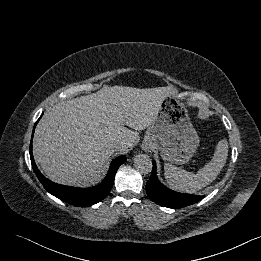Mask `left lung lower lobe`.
Wrapping results in <instances>:
<instances>
[{"label": "left lung lower lobe", "mask_w": 261, "mask_h": 261, "mask_svg": "<svg viewBox=\"0 0 261 261\" xmlns=\"http://www.w3.org/2000/svg\"><path fill=\"white\" fill-rule=\"evenodd\" d=\"M156 164L153 162V170L146 185L148 197L155 203L173 209L182 208L200 201L204 196L178 193L168 189L159 182L155 170Z\"/></svg>", "instance_id": "obj_1"}]
</instances>
